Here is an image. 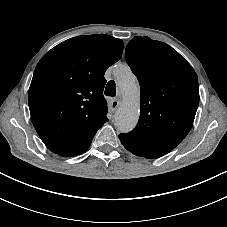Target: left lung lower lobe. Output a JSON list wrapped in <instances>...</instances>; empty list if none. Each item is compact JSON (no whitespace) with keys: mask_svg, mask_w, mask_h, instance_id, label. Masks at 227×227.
Wrapping results in <instances>:
<instances>
[{"mask_svg":"<svg viewBox=\"0 0 227 227\" xmlns=\"http://www.w3.org/2000/svg\"><path fill=\"white\" fill-rule=\"evenodd\" d=\"M121 143L128 151L132 152L133 154H135L137 156L150 158V159L163 156L162 154H160L159 152H156L155 150H151L149 148H144V147H139L132 142L124 141L121 139Z\"/></svg>","mask_w":227,"mask_h":227,"instance_id":"left-lung-lower-lobe-1","label":"left lung lower lobe"}]
</instances>
